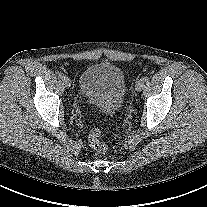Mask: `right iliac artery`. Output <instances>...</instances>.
<instances>
[{"label":"right iliac artery","instance_id":"82829eb1","mask_svg":"<svg viewBox=\"0 0 207 207\" xmlns=\"http://www.w3.org/2000/svg\"><path fill=\"white\" fill-rule=\"evenodd\" d=\"M58 76H59V78H61V79H63V78L65 77L63 73H59Z\"/></svg>","mask_w":207,"mask_h":207}]
</instances>
